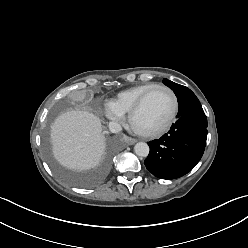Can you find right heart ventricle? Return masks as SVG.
Listing matches in <instances>:
<instances>
[{
	"mask_svg": "<svg viewBox=\"0 0 248 248\" xmlns=\"http://www.w3.org/2000/svg\"><path fill=\"white\" fill-rule=\"evenodd\" d=\"M155 85L157 84L150 82L135 85L133 87L125 89L118 93L110 104L121 115H127L129 114L130 110L135 105L137 100L140 98V96Z\"/></svg>",
	"mask_w": 248,
	"mask_h": 248,
	"instance_id": "obj_1",
	"label": "right heart ventricle"
}]
</instances>
